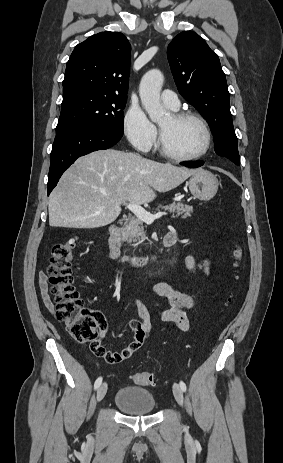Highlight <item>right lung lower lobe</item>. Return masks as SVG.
<instances>
[{"label":"right lung lower lobe","instance_id":"right-lung-lower-lobe-1","mask_svg":"<svg viewBox=\"0 0 283 463\" xmlns=\"http://www.w3.org/2000/svg\"><path fill=\"white\" fill-rule=\"evenodd\" d=\"M122 135L98 127H83L56 134L50 155L48 195L57 185L63 172L78 157L114 146Z\"/></svg>","mask_w":283,"mask_h":463}]
</instances>
